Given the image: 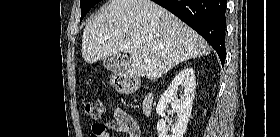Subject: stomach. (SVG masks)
I'll return each mask as SVG.
<instances>
[{
  "instance_id": "obj_1",
  "label": "stomach",
  "mask_w": 280,
  "mask_h": 137,
  "mask_svg": "<svg viewBox=\"0 0 280 137\" xmlns=\"http://www.w3.org/2000/svg\"><path fill=\"white\" fill-rule=\"evenodd\" d=\"M113 86L119 91H126L127 87H128L126 84L119 83V82H116V83L114 82Z\"/></svg>"
}]
</instances>
